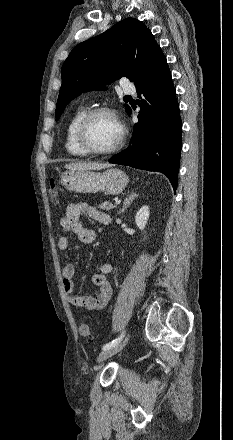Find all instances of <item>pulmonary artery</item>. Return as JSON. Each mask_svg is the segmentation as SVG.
I'll use <instances>...</instances> for the list:
<instances>
[{
    "label": "pulmonary artery",
    "instance_id": "pulmonary-artery-1",
    "mask_svg": "<svg viewBox=\"0 0 233 440\" xmlns=\"http://www.w3.org/2000/svg\"><path fill=\"white\" fill-rule=\"evenodd\" d=\"M122 89L125 93H134L136 88L133 84L125 82L122 86Z\"/></svg>",
    "mask_w": 233,
    "mask_h": 440
}]
</instances>
